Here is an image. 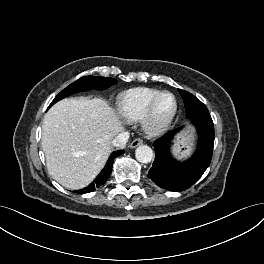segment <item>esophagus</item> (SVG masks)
<instances>
[{
	"instance_id": "esophagus-1",
	"label": "esophagus",
	"mask_w": 264,
	"mask_h": 264,
	"mask_svg": "<svg viewBox=\"0 0 264 264\" xmlns=\"http://www.w3.org/2000/svg\"><path fill=\"white\" fill-rule=\"evenodd\" d=\"M143 143L142 139L140 138H136L134 139L131 144H130V147L131 148H136L137 146L141 145Z\"/></svg>"
}]
</instances>
